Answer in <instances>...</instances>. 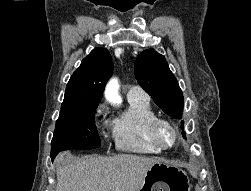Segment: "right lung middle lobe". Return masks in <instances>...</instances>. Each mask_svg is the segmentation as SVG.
Masks as SVG:
<instances>
[{"mask_svg":"<svg viewBox=\"0 0 251 191\" xmlns=\"http://www.w3.org/2000/svg\"><path fill=\"white\" fill-rule=\"evenodd\" d=\"M97 105L61 109L51 142V158L62 150L93 149L100 146L95 126Z\"/></svg>","mask_w":251,"mask_h":191,"instance_id":"dd1d6c3e","label":"right lung middle lobe"}]
</instances>
